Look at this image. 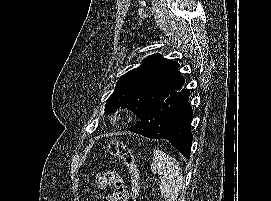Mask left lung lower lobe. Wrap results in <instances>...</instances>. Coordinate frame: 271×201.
Here are the masks:
<instances>
[{"label":"left lung lower lobe","instance_id":"obj_1","mask_svg":"<svg viewBox=\"0 0 271 201\" xmlns=\"http://www.w3.org/2000/svg\"><path fill=\"white\" fill-rule=\"evenodd\" d=\"M189 90L182 89L171 110L168 124L164 135L160 139H167L183 156L190 158L192 145L191 121L193 117L192 108L188 102ZM131 132L141 134L143 127L134 125Z\"/></svg>","mask_w":271,"mask_h":201}]
</instances>
